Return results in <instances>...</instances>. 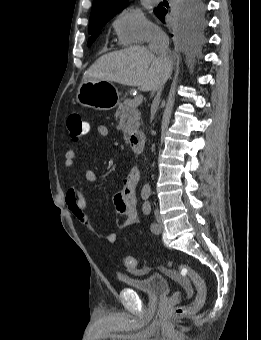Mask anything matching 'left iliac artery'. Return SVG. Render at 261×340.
Here are the masks:
<instances>
[{
  "label": "left iliac artery",
  "mask_w": 261,
  "mask_h": 340,
  "mask_svg": "<svg viewBox=\"0 0 261 340\" xmlns=\"http://www.w3.org/2000/svg\"><path fill=\"white\" fill-rule=\"evenodd\" d=\"M142 210H143V213L145 215H149L150 212H151V205H150V203L149 202H145L144 205H143ZM157 228H158L157 223L152 222L151 225H150L151 231L155 232L157 230Z\"/></svg>",
  "instance_id": "left-iliac-artery-1"
}]
</instances>
